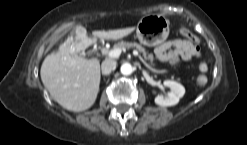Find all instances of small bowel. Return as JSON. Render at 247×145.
I'll return each mask as SVG.
<instances>
[{
	"mask_svg": "<svg viewBox=\"0 0 247 145\" xmlns=\"http://www.w3.org/2000/svg\"><path fill=\"white\" fill-rule=\"evenodd\" d=\"M155 56L158 60L169 63H177L180 60L189 61L201 57L199 39H171L163 42L155 48Z\"/></svg>",
	"mask_w": 247,
	"mask_h": 145,
	"instance_id": "small-bowel-1",
	"label": "small bowel"
}]
</instances>
